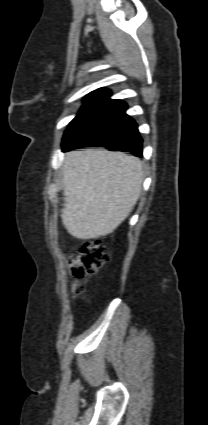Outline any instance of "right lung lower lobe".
<instances>
[{
	"mask_svg": "<svg viewBox=\"0 0 208 425\" xmlns=\"http://www.w3.org/2000/svg\"><path fill=\"white\" fill-rule=\"evenodd\" d=\"M109 97L110 91L105 90L83 106L64 134V152L80 147H106L142 157V139L136 122L126 114V103Z\"/></svg>",
	"mask_w": 208,
	"mask_h": 425,
	"instance_id": "98d812e1",
	"label": "right lung lower lobe"
}]
</instances>
